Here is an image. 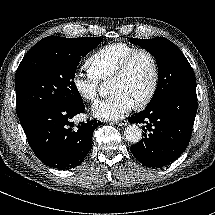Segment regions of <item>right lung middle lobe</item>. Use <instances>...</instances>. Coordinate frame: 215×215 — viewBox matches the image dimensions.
I'll list each match as a JSON object with an SVG mask.
<instances>
[{"label": "right lung middle lobe", "mask_w": 215, "mask_h": 215, "mask_svg": "<svg viewBox=\"0 0 215 215\" xmlns=\"http://www.w3.org/2000/svg\"><path fill=\"white\" fill-rule=\"evenodd\" d=\"M102 41L99 37L48 36L36 43L15 74L18 116L34 106L50 102L83 103L74 82L75 71L81 57Z\"/></svg>", "instance_id": "dd1d6c3e"}]
</instances>
